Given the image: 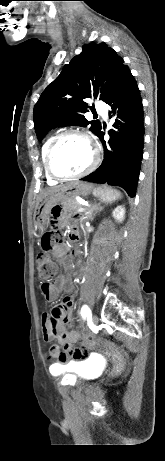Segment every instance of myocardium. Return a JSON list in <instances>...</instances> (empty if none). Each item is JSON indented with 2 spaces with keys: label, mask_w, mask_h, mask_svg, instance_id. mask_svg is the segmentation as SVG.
Segmentation results:
<instances>
[{
  "label": "myocardium",
  "mask_w": 165,
  "mask_h": 461,
  "mask_svg": "<svg viewBox=\"0 0 165 461\" xmlns=\"http://www.w3.org/2000/svg\"><path fill=\"white\" fill-rule=\"evenodd\" d=\"M69 136H76V137H80L84 139L91 148L92 159H91L90 164L83 171L77 174H73V175H60L53 169L52 157H53V153L57 145L59 144V142L62 139L69 137ZM99 158H100L99 150L88 134H86L85 132L79 131V130L69 129V130H65L59 133L57 136H55L52 139V141L50 142L46 150L44 165H45V170L47 174L51 176L52 178L56 180H73V179L82 178L86 176L87 174L91 173L97 167L99 163Z\"/></svg>",
  "instance_id": "1"
}]
</instances>
